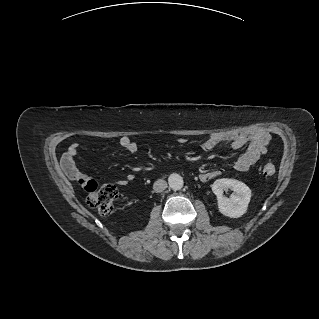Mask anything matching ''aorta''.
I'll list each match as a JSON object with an SVG mask.
<instances>
[{
    "mask_svg": "<svg viewBox=\"0 0 319 319\" xmlns=\"http://www.w3.org/2000/svg\"><path fill=\"white\" fill-rule=\"evenodd\" d=\"M169 186L172 190L177 191L183 187L184 181L179 174H171L168 178Z\"/></svg>",
    "mask_w": 319,
    "mask_h": 319,
    "instance_id": "aorta-1",
    "label": "aorta"
}]
</instances>
